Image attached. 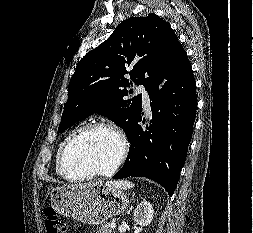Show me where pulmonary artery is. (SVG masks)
<instances>
[{
  "label": "pulmonary artery",
  "mask_w": 253,
  "mask_h": 233,
  "mask_svg": "<svg viewBox=\"0 0 253 233\" xmlns=\"http://www.w3.org/2000/svg\"><path fill=\"white\" fill-rule=\"evenodd\" d=\"M136 93L140 94L142 96V102L145 105L146 109H149V104H150V98H149V93L148 90L144 85H138L136 87Z\"/></svg>",
  "instance_id": "obj_1"
}]
</instances>
